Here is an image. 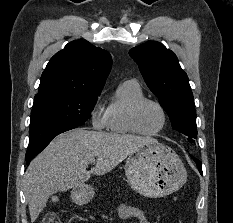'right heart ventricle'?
<instances>
[{
  "label": "right heart ventricle",
  "mask_w": 233,
  "mask_h": 223,
  "mask_svg": "<svg viewBox=\"0 0 233 223\" xmlns=\"http://www.w3.org/2000/svg\"><path fill=\"white\" fill-rule=\"evenodd\" d=\"M144 97L143 89L137 81L122 82L105 110L106 128L115 134L135 135L130 125V111Z\"/></svg>",
  "instance_id": "1"
}]
</instances>
